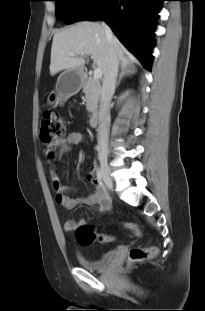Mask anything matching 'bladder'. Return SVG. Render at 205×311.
Wrapping results in <instances>:
<instances>
[{
  "label": "bladder",
  "instance_id": "1",
  "mask_svg": "<svg viewBox=\"0 0 205 311\" xmlns=\"http://www.w3.org/2000/svg\"><path fill=\"white\" fill-rule=\"evenodd\" d=\"M116 255H117L116 249H111L104 252L98 259L95 260L89 259L84 254H79L78 261L80 265L86 270L101 271L115 260Z\"/></svg>",
  "mask_w": 205,
  "mask_h": 311
}]
</instances>
